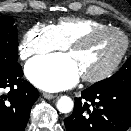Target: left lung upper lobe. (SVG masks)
Wrapping results in <instances>:
<instances>
[{
    "label": "left lung upper lobe",
    "mask_w": 131,
    "mask_h": 131,
    "mask_svg": "<svg viewBox=\"0 0 131 131\" xmlns=\"http://www.w3.org/2000/svg\"><path fill=\"white\" fill-rule=\"evenodd\" d=\"M101 89L131 90V57L113 76L92 85Z\"/></svg>",
    "instance_id": "obj_1"
}]
</instances>
